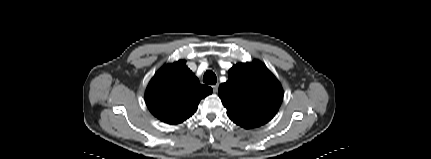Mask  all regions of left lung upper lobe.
Returning a JSON list of instances; mask_svg holds the SVG:
<instances>
[{
  "mask_svg": "<svg viewBox=\"0 0 431 159\" xmlns=\"http://www.w3.org/2000/svg\"><path fill=\"white\" fill-rule=\"evenodd\" d=\"M229 79L219 87V97L229 118L244 128H254L270 121L283 99L276 77L258 60L234 65Z\"/></svg>",
  "mask_w": 431,
  "mask_h": 159,
  "instance_id": "obj_1",
  "label": "left lung upper lobe"
}]
</instances>
